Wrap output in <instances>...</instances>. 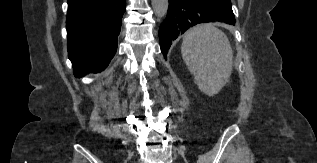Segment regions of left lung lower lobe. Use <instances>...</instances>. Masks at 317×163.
Returning a JSON list of instances; mask_svg holds the SVG:
<instances>
[{
    "label": "left lung lower lobe",
    "mask_w": 317,
    "mask_h": 163,
    "mask_svg": "<svg viewBox=\"0 0 317 163\" xmlns=\"http://www.w3.org/2000/svg\"><path fill=\"white\" fill-rule=\"evenodd\" d=\"M235 25L230 0H169L166 19L159 29L160 47L165 59L172 40L188 28L207 22Z\"/></svg>",
    "instance_id": "left-lung-lower-lobe-1"
}]
</instances>
